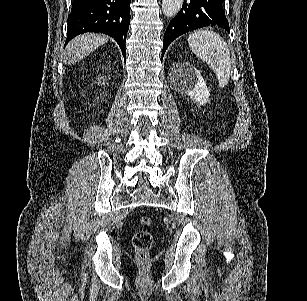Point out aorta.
Listing matches in <instances>:
<instances>
[{
  "label": "aorta",
  "instance_id": "aorta-1",
  "mask_svg": "<svg viewBox=\"0 0 307 301\" xmlns=\"http://www.w3.org/2000/svg\"><path fill=\"white\" fill-rule=\"evenodd\" d=\"M182 4L183 0H162V12L165 16H175Z\"/></svg>",
  "mask_w": 307,
  "mask_h": 301
}]
</instances>
